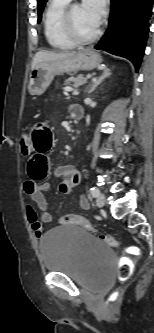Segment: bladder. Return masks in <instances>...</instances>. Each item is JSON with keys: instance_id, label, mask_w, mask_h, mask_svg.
Returning a JSON list of instances; mask_svg holds the SVG:
<instances>
[{"instance_id": "bladder-1", "label": "bladder", "mask_w": 154, "mask_h": 333, "mask_svg": "<svg viewBox=\"0 0 154 333\" xmlns=\"http://www.w3.org/2000/svg\"><path fill=\"white\" fill-rule=\"evenodd\" d=\"M44 268L84 284L109 283L115 267L110 246L78 224L48 230L39 240Z\"/></svg>"}]
</instances>
